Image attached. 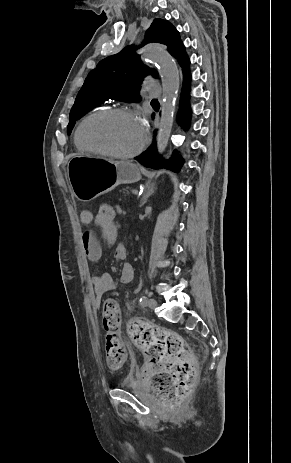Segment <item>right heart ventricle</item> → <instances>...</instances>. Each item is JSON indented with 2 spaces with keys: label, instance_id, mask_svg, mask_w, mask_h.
<instances>
[{
  "label": "right heart ventricle",
  "instance_id": "e07e8e85",
  "mask_svg": "<svg viewBox=\"0 0 291 463\" xmlns=\"http://www.w3.org/2000/svg\"><path fill=\"white\" fill-rule=\"evenodd\" d=\"M74 140H75V145H76L78 150H80V151H85L86 150V149L83 148V146L79 143V141L77 139V130H76V133H75Z\"/></svg>",
  "mask_w": 291,
  "mask_h": 463
}]
</instances>
